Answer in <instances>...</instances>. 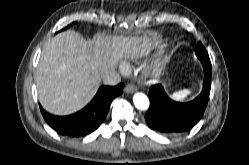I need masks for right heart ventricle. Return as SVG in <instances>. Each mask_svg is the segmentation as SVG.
<instances>
[{
	"mask_svg": "<svg viewBox=\"0 0 249 165\" xmlns=\"http://www.w3.org/2000/svg\"><path fill=\"white\" fill-rule=\"evenodd\" d=\"M154 45L163 46L162 43H159V42H155ZM149 48L150 46H144V47L138 48L136 51L132 53L131 55L132 58L137 60L140 56L145 54Z\"/></svg>",
	"mask_w": 249,
	"mask_h": 165,
	"instance_id": "right-heart-ventricle-1",
	"label": "right heart ventricle"
}]
</instances>
